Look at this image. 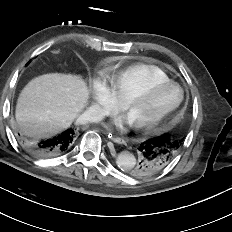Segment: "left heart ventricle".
Here are the masks:
<instances>
[{"label": "left heart ventricle", "mask_w": 232, "mask_h": 232, "mask_svg": "<svg viewBox=\"0 0 232 232\" xmlns=\"http://www.w3.org/2000/svg\"><path fill=\"white\" fill-rule=\"evenodd\" d=\"M180 89L168 86L147 98L145 101L132 105L128 115L134 125L155 119L171 108L180 99Z\"/></svg>", "instance_id": "obj_1"}]
</instances>
